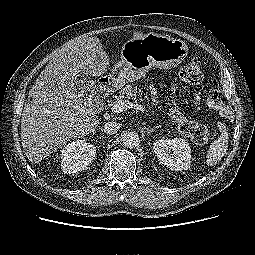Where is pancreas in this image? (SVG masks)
<instances>
[{
	"mask_svg": "<svg viewBox=\"0 0 255 255\" xmlns=\"http://www.w3.org/2000/svg\"><path fill=\"white\" fill-rule=\"evenodd\" d=\"M143 91L138 88L137 86L130 84V85H126L124 88H122L118 95L114 96L115 100L111 101V105L115 104L117 101L122 100V99H136L137 97H141V95H143L142 93ZM144 97L148 98V94L144 93ZM140 100H142L140 98Z\"/></svg>",
	"mask_w": 255,
	"mask_h": 255,
	"instance_id": "cf45deb5",
	"label": "pancreas"
}]
</instances>
